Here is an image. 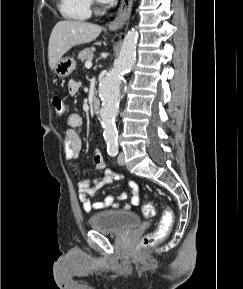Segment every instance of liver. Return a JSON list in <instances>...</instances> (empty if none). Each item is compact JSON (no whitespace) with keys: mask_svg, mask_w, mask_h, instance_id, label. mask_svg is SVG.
Instances as JSON below:
<instances>
[{"mask_svg":"<svg viewBox=\"0 0 243 289\" xmlns=\"http://www.w3.org/2000/svg\"><path fill=\"white\" fill-rule=\"evenodd\" d=\"M102 31V27L83 21L63 20L53 28L48 45V60L51 70L72 47L90 43Z\"/></svg>","mask_w":243,"mask_h":289,"instance_id":"1","label":"liver"}]
</instances>
